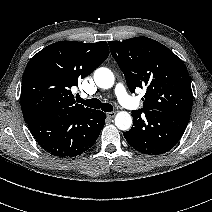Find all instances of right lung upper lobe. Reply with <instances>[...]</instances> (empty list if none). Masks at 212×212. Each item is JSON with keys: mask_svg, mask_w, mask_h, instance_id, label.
Instances as JSON below:
<instances>
[{"mask_svg": "<svg viewBox=\"0 0 212 212\" xmlns=\"http://www.w3.org/2000/svg\"><path fill=\"white\" fill-rule=\"evenodd\" d=\"M107 42L59 41L28 62L22 78L21 107L26 123L39 117L88 111L76 104L71 87L108 57Z\"/></svg>", "mask_w": 212, "mask_h": 212, "instance_id": "1", "label": "right lung upper lobe"}]
</instances>
